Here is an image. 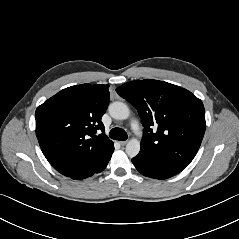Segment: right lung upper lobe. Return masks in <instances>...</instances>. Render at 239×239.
<instances>
[{
    "mask_svg": "<svg viewBox=\"0 0 239 239\" xmlns=\"http://www.w3.org/2000/svg\"><path fill=\"white\" fill-rule=\"evenodd\" d=\"M109 85L65 88L35 112L36 136L49 163L75 177L100 166L114 150L101 121L110 97ZM101 130L99 135L97 131Z\"/></svg>",
    "mask_w": 239,
    "mask_h": 239,
    "instance_id": "right-lung-upper-lobe-1",
    "label": "right lung upper lobe"
}]
</instances>
